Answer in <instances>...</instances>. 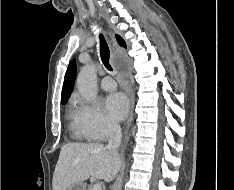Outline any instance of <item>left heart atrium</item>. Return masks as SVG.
<instances>
[{
  "mask_svg": "<svg viewBox=\"0 0 234 190\" xmlns=\"http://www.w3.org/2000/svg\"><path fill=\"white\" fill-rule=\"evenodd\" d=\"M105 108L110 118L120 121L127 114L129 109V101L123 93L115 92L106 98Z\"/></svg>",
  "mask_w": 234,
  "mask_h": 190,
  "instance_id": "obj_1",
  "label": "left heart atrium"
}]
</instances>
